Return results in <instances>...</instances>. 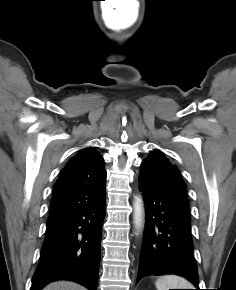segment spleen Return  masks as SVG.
<instances>
[{"mask_svg":"<svg viewBox=\"0 0 236 290\" xmlns=\"http://www.w3.org/2000/svg\"><path fill=\"white\" fill-rule=\"evenodd\" d=\"M155 286L157 290H169V289H191L192 284L185 278L178 275H164L160 276Z\"/></svg>","mask_w":236,"mask_h":290,"instance_id":"spleen-1","label":"spleen"}]
</instances>
